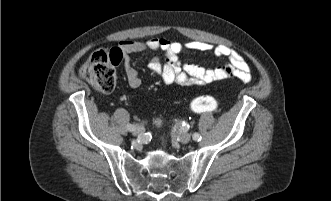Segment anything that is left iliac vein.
<instances>
[{
	"label": "left iliac vein",
	"instance_id": "1",
	"mask_svg": "<svg viewBox=\"0 0 331 201\" xmlns=\"http://www.w3.org/2000/svg\"><path fill=\"white\" fill-rule=\"evenodd\" d=\"M177 140L181 143H188L191 140V135L188 133H181L178 135Z\"/></svg>",
	"mask_w": 331,
	"mask_h": 201
}]
</instances>
